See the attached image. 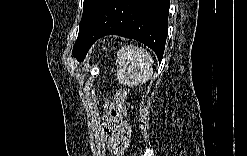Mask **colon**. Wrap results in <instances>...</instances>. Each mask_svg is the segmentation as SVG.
I'll return each instance as SVG.
<instances>
[{"label":"colon","instance_id":"obj_1","mask_svg":"<svg viewBox=\"0 0 247 156\" xmlns=\"http://www.w3.org/2000/svg\"><path fill=\"white\" fill-rule=\"evenodd\" d=\"M115 105L120 115L126 119L129 117L128 109L126 107V91L124 88H119L115 93Z\"/></svg>","mask_w":247,"mask_h":156}]
</instances>
